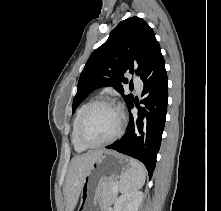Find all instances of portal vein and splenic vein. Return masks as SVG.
<instances>
[{"mask_svg": "<svg viewBox=\"0 0 221 211\" xmlns=\"http://www.w3.org/2000/svg\"><path fill=\"white\" fill-rule=\"evenodd\" d=\"M117 189H118V185L116 184L113 188V191H117Z\"/></svg>", "mask_w": 221, "mask_h": 211, "instance_id": "portal-vein-and-splenic-vein-1", "label": "portal vein and splenic vein"}]
</instances>
